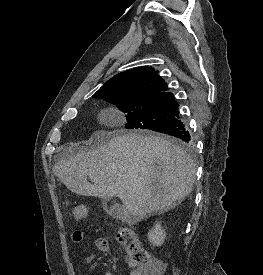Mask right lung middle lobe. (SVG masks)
<instances>
[{
  "label": "right lung middle lobe",
  "mask_w": 263,
  "mask_h": 275,
  "mask_svg": "<svg viewBox=\"0 0 263 275\" xmlns=\"http://www.w3.org/2000/svg\"><path fill=\"white\" fill-rule=\"evenodd\" d=\"M93 97L113 103L126 113L128 123L125 127L127 129L155 131L180 118L178 104L174 96H134L123 91H110ZM171 141L179 146L189 148L179 139L173 138Z\"/></svg>",
  "instance_id": "dd1d6c3e"
}]
</instances>
